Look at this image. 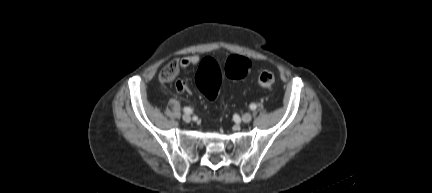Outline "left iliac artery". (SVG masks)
Wrapping results in <instances>:
<instances>
[{
    "label": "left iliac artery",
    "mask_w": 432,
    "mask_h": 193,
    "mask_svg": "<svg viewBox=\"0 0 432 193\" xmlns=\"http://www.w3.org/2000/svg\"><path fill=\"white\" fill-rule=\"evenodd\" d=\"M250 109L251 110H255L256 109V105L254 103L250 104Z\"/></svg>",
    "instance_id": "obj_1"
}]
</instances>
